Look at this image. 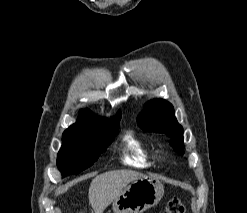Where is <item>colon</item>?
<instances>
[{"instance_id": "obj_1", "label": "colon", "mask_w": 247, "mask_h": 213, "mask_svg": "<svg viewBox=\"0 0 247 213\" xmlns=\"http://www.w3.org/2000/svg\"><path fill=\"white\" fill-rule=\"evenodd\" d=\"M164 213H185V207L178 198H172L168 201Z\"/></svg>"}]
</instances>
